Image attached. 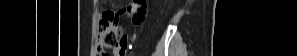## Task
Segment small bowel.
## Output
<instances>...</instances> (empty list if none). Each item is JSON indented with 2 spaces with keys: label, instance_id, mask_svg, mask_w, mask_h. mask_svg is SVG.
<instances>
[{
  "label": "small bowel",
  "instance_id": "obj_1",
  "mask_svg": "<svg viewBox=\"0 0 297 56\" xmlns=\"http://www.w3.org/2000/svg\"><path fill=\"white\" fill-rule=\"evenodd\" d=\"M131 33H122L121 40H119V46L114 49V52L120 55H124V49H128L130 44ZM99 55H105L100 49H98Z\"/></svg>",
  "mask_w": 297,
  "mask_h": 56
}]
</instances>
